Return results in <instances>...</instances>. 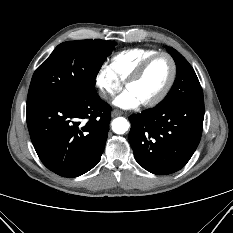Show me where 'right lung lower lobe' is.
I'll list each match as a JSON object with an SVG mask.
<instances>
[{"label":"right lung lower lobe","mask_w":233,"mask_h":233,"mask_svg":"<svg viewBox=\"0 0 233 233\" xmlns=\"http://www.w3.org/2000/svg\"><path fill=\"white\" fill-rule=\"evenodd\" d=\"M27 125L42 163L63 177H77L101 159L111 107L95 89L27 105Z\"/></svg>","instance_id":"98d812e1"}]
</instances>
